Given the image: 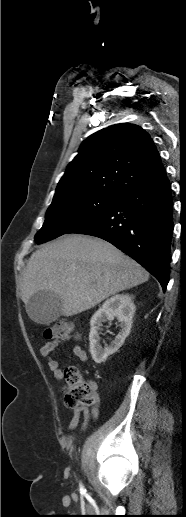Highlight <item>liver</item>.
<instances>
[{
	"label": "liver",
	"mask_w": 186,
	"mask_h": 517,
	"mask_svg": "<svg viewBox=\"0 0 186 517\" xmlns=\"http://www.w3.org/2000/svg\"><path fill=\"white\" fill-rule=\"evenodd\" d=\"M148 279L141 265L109 242L71 234L31 255L23 273L21 299L27 305L35 293L53 292L62 301L61 315L69 317Z\"/></svg>",
	"instance_id": "obj_1"
}]
</instances>
